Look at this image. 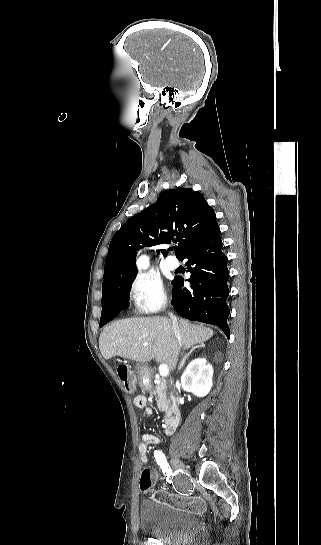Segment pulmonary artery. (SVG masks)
I'll use <instances>...</instances> for the list:
<instances>
[{
	"mask_svg": "<svg viewBox=\"0 0 321 545\" xmlns=\"http://www.w3.org/2000/svg\"><path fill=\"white\" fill-rule=\"evenodd\" d=\"M165 265L166 267L171 270V271H174L176 270L178 267H179V262L177 259H174V258H168L166 261H165Z\"/></svg>",
	"mask_w": 321,
	"mask_h": 545,
	"instance_id": "1",
	"label": "pulmonary artery"
}]
</instances>
